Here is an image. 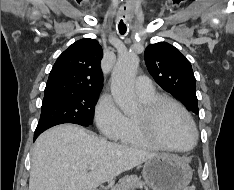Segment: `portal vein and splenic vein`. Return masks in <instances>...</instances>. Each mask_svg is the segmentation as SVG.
Wrapping results in <instances>:
<instances>
[{"mask_svg":"<svg viewBox=\"0 0 234 190\" xmlns=\"http://www.w3.org/2000/svg\"><path fill=\"white\" fill-rule=\"evenodd\" d=\"M96 167H97V164H96V163H91V164L89 165V170H94Z\"/></svg>","mask_w":234,"mask_h":190,"instance_id":"obj_1","label":"portal vein and splenic vein"}]
</instances>
